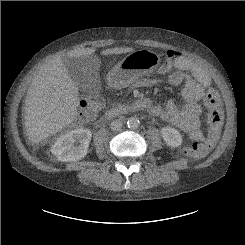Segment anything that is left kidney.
<instances>
[{"mask_svg":"<svg viewBox=\"0 0 245 245\" xmlns=\"http://www.w3.org/2000/svg\"><path fill=\"white\" fill-rule=\"evenodd\" d=\"M161 135L167 145L171 147H179L182 144V136L179 131L171 127H163Z\"/></svg>","mask_w":245,"mask_h":245,"instance_id":"5707ae66","label":"left kidney"}]
</instances>
